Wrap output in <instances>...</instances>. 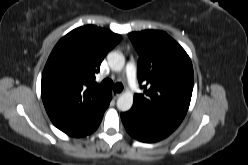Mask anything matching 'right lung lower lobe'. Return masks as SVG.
Masks as SVG:
<instances>
[{
	"instance_id": "98d812e1",
	"label": "right lung lower lobe",
	"mask_w": 248,
	"mask_h": 165,
	"mask_svg": "<svg viewBox=\"0 0 248 165\" xmlns=\"http://www.w3.org/2000/svg\"><path fill=\"white\" fill-rule=\"evenodd\" d=\"M110 100H111V98H110ZM109 102L95 118H93L88 123L82 125L81 127L67 132V134L70 136H73V137H83V136H86V135L94 132L98 128V126L102 120L103 114H104L105 110L107 109V107L109 106Z\"/></svg>"
}]
</instances>
